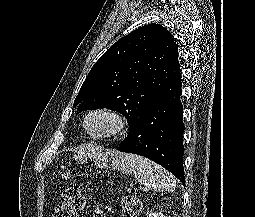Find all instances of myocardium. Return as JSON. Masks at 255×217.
<instances>
[{"instance_id": "1", "label": "myocardium", "mask_w": 255, "mask_h": 217, "mask_svg": "<svg viewBox=\"0 0 255 217\" xmlns=\"http://www.w3.org/2000/svg\"><path fill=\"white\" fill-rule=\"evenodd\" d=\"M94 115H104L112 120V127L106 131L94 133L87 127L89 119ZM84 131L94 139H112L123 133L127 126L126 116L118 109L111 106H98L89 110L82 123Z\"/></svg>"}]
</instances>
